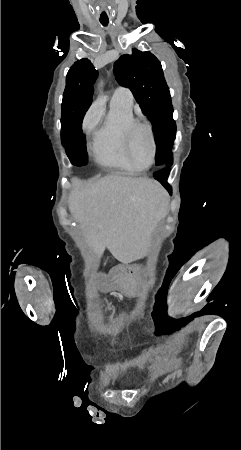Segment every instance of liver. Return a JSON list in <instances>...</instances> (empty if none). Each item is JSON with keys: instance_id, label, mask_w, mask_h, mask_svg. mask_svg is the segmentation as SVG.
<instances>
[{"instance_id": "6515ba94", "label": "liver", "mask_w": 241, "mask_h": 450, "mask_svg": "<svg viewBox=\"0 0 241 450\" xmlns=\"http://www.w3.org/2000/svg\"><path fill=\"white\" fill-rule=\"evenodd\" d=\"M69 210L80 224L83 236L100 262L105 248L116 250L127 224H151L167 200V192L156 180L125 178L120 172L100 180L72 178Z\"/></svg>"}]
</instances>
